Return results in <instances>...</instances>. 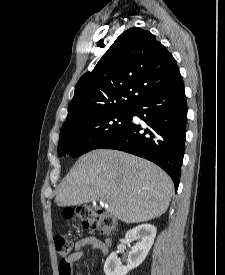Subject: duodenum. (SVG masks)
<instances>
[{
  "instance_id": "obj_1",
  "label": "duodenum",
  "mask_w": 225,
  "mask_h": 275,
  "mask_svg": "<svg viewBox=\"0 0 225 275\" xmlns=\"http://www.w3.org/2000/svg\"><path fill=\"white\" fill-rule=\"evenodd\" d=\"M104 244H105L106 251H107L108 250V242L106 241V242H104Z\"/></svg>"
}]
</instances>
